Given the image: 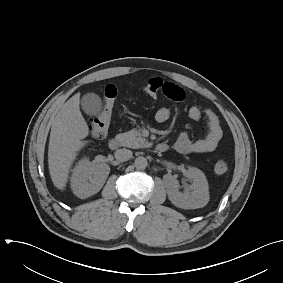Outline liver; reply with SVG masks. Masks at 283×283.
Listing matches in <instances>:
<instances>
[{"mask_svg": "<svg viewBox=\"0 0 283 283\" xmlns=\"http://www.w3.org/2000/svg\"><path fill=\"white\" fill-rule=\"evenodd\" d=\"M80 94L72 96L62 105L52 121L48 165L54 186L63 190L77 152L85 145L89 127L80 111Z\"/></svg>", "mask_w": 283, "mask_h": 283, "instance_id": "1", "label": "liver"}]
</instances>
